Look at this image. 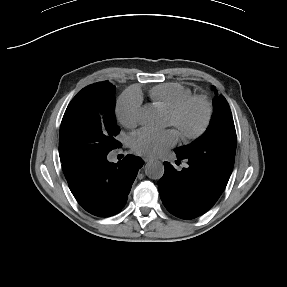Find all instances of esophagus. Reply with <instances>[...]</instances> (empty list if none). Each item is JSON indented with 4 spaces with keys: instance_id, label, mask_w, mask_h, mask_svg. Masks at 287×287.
I'll list each match as a JSON object with an SVG mask.
<instances>
[{
    "instance_id": "obj_1",
    "label": "esophagus",
    "mask_w": 287,
    "mask_h": 287,
    "mask_svg": "<svg viewBox=\"0 0 287 287\" xmlns=\"http://www.w3.org/2000/svg\"><path fill=\"white\" fill-rule=\"evenodd\" d=\"M143 160H144V162H149V161H151V159H150L149 157H144Z\"/></svg>"
}]
</instances>
